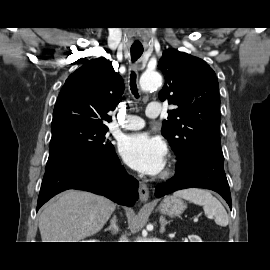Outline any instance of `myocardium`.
I'll list each match as a JSON object with an SVG mask.
<instances>
[{"instance_id":"f54148a6","label":"myocardium","mask_w":270,"mask_h":270,"mask_svg":"<svg viewBox=\"0 0 270 270\" xmlns=\"http://www.w3.org/2000/svg\"><path fill=\"white\" fill-rule=\"evenodd\" d=\"M171 174V168H167L164 173L162 174L163 178L168 177Z\"/></svg>"}]
</instances>
